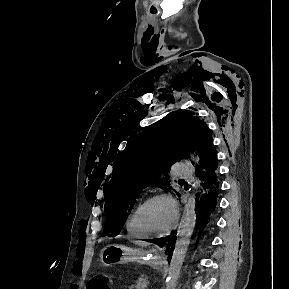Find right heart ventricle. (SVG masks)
I'll use <instances>...</instances> for the list:
<instances>
[{
	"label": "right heart ventricle",
	"mask_w": 289,
	"mask_h": 289,
	"mask_svg": "<svg viewBox=\"0 0 289 289\" xmlns=\"http://www.w3.org/2000/svg\"><path fill=\"white\" fill-rule=\"evenodd\" d=\"M139 206V205H138ZM138 206L128 215L126 219V230L129 235L135 237V238H147L136 226L135 223V213L138 208Z\"/></svg>",
	"instance_id": "obj_1"
}]
</instances>
